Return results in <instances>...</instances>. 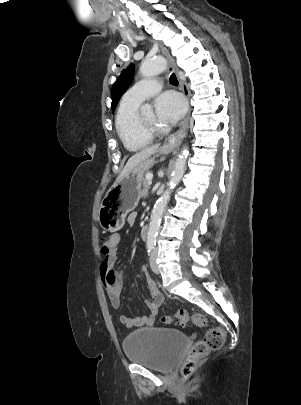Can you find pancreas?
I'll return each mask as SVG.
<instances>
[{
  "label": "pancreas",
  "instance_id": "obj_1",
  "mask_svg": "<svg viewBox=\"0 0 301 405\" xmlns=\"http://www.w3.org/2000/svg\"><path fill=\"white\" fill-rule=\"evenodd\" d=\"M149 188H150V181L147 178H145L143 180V189L141 191L142 197H147Z\"/></svg>",
  "mask_w": 301,
  "mask_h": 405
}]
</instances>
